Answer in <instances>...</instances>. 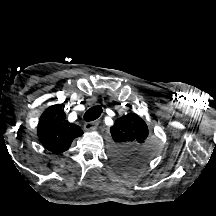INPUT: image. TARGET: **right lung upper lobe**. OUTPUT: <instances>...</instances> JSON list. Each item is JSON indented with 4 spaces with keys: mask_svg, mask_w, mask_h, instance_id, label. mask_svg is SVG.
<instances>
[{
    "mask_svg": "<svg viewBox=\"0 0 216 216\" xmlns=\"http://www.w3.org/2000/svg\"><path fill=\"white\" fill-rule=\"evenodd\" d=\"M37 132L42 145L54 154L68 150L72 141L83 134L79 126L66 120L61 104L52 105L43 112Z\"/></svg>",
    "mask_w": 216,
    "mask_h": 216,
    "instance_id": "1",
    "label": "right lung upper lobe"
}]
</instances>
